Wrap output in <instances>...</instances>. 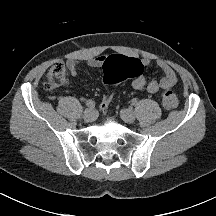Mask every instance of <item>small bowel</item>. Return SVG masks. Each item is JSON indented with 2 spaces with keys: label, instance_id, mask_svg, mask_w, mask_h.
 Returning a JSON list of instances; mask_svg holds the SVG:
<instances>
[{
  "label": "small bowel",
  "instance_id": "small-bowel-1",
  "mask_svg": "<svg viewBox=\"0 0 216 216\" xmlns=\"http://www.w3.org/2000/svg\"><path fill=\"white\" fill-rule=\"evenodd\" d=\"M119 55H113L111 57H117ZM110 56H97L91 58L87 61V65L91 68H102L104 67L106 61L111 58ZM143 66H148L151 63L149 58H140L137 59ZM156 65L163 72V76L160 79H151L147 80L145 76L140 75L135 77L131 82V87L134 90H146L150 94H156L161 89L169 90L172 89L178 82V78L174 69L169 65L165 60H157ZM79 62L73 59L67 60L65 67L69 74L73 77L78 74ZM66 85H70L69 82H66Z\"/></svg>",
  "mask_w": 216,
  "mask_h": 216
}]
</instances>
